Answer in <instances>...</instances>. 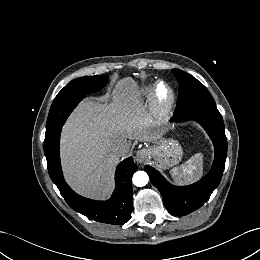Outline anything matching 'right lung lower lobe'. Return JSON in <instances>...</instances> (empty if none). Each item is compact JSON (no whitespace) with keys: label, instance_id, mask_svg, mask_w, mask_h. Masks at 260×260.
Masks as SVG:
<instances>
[{"label":"right lung lower lobe","instance_id":"98d812e1","mask_svg":"<svg viewBox=\"0 0 260 260\" xmlns=\"http://www.w3.org/2000/svg\"><path fill=\"white\" fill-rule=\"evenodd\" d=\"M61 128L50 138H45L44 153L47 159L49 175L60 193L75 211L87 218L108 224L127 222L132 212V175L137 170L131 157L122 161L116 169V189L110 200L93 201L77 195L66 184L61 170L59 158V140Z\"/></svg>","mask_w":260,"mask_h":260}]
</instances>
